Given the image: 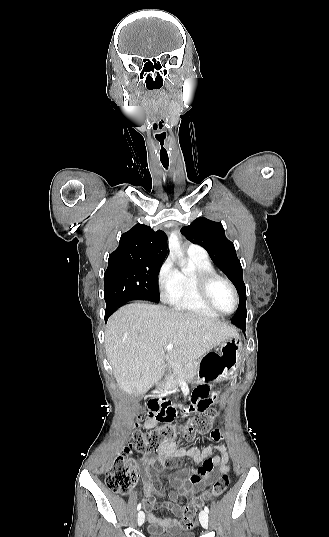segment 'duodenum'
<instances>
[{
    "label": "duodenum",
    "mask_w": 329,
    "mask_h": 537,
    "mask_svg": "<svg viewBox=\"0 0 329 537\" xmlns=\"http://www.w3.org/2000/svg\"><path fill=\"white\" fill-rule=\"evenodd\" d=\"M161 407H164V408H167L169 407V403L167 400L163 399V398H153L150 403H149V408L152 412H154L155 414H157V412H159V409Z\"/></svg>",
    "instance_id": "1"
}]
</instances>
